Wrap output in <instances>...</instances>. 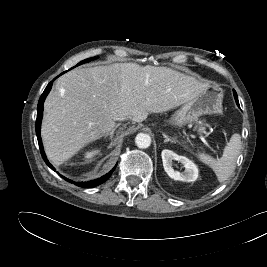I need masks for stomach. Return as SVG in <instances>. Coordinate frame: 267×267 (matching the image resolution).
I'll return each mask as SVG.
<instances>
[{"label": "stomach", "mask_w": 267, "mask_h": 267, "mask_svg": "<svg viewBox=\"0 0 267 267\" xmlns=\"http://www.w3.org/2000/svg\"><path fill=\"white\" fill-rule=\"evenodd\" d=\"M223 91L210 86L195 98L184 103L170 118L169 123L181 128L202 114H222Z\"/></svg>", "instance_id": "obj_1"}]
</instances>
